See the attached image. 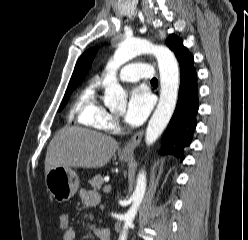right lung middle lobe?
<instances>
[{
	"label": "right lung middle lobe",
	"mask_w": 248,
	"mask_h": 240,
	"mask_svg": "<svg viewBox=\"0 0 248 240\" xmlns=\"http://www.w3.org/2000/svg\"><path fill=\"white\" fill-rule=\"evenodd\" d=\"M79 83H80V81H70L69 82L68 88L65 92V95H64V98H63V101L60 105L59 110H61L65 106V104L67 103V101L70 98L71 93L75 90V88L78 86Z\"/></svg>",
	"instance_id": "dd1d6c3e"
}]
</instances>
